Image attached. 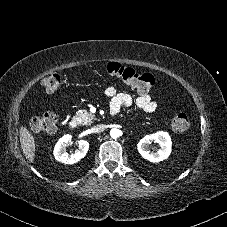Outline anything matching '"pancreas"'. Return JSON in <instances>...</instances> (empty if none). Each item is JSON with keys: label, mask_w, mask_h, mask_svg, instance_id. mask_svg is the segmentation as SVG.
<instances>
[{"label": "pancreas", "mask_w": 227, "mask_h": 227, "mask_svg": "<svg viewBox=\"0 0 227 227\" xmlns=\"http://www.w3.org/2000/svg\"><path fill=\"white\" fill-rule=\"evenodd\" d=\"M77 116L82 125H90L96 119L95 115L91 114L87 110H80L77 113Z\"/></svg>", "instance_id": "cf45deb5"}]
</instances>
